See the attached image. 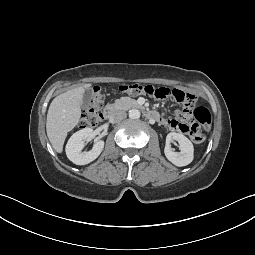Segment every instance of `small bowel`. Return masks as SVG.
Masks as SVG:
<instances>
[{
	"mask_svg": "<svg viewBox=\"0 0 255 255\" xmlns=\"http://www.w3.org/2000/svg\"><path fill=\"white\" fill-rule=\"evenodd\" d=\"M162 123L170 130L187 133L188 129L192 126L190 120L181 115L179 119L164 118Z\"/></svg>",
	"mask_w": 255,
	"mask_h": 255,
	"instance_id": "small-bowel-1",
	"label": "small bowel"
}]
</instances>
